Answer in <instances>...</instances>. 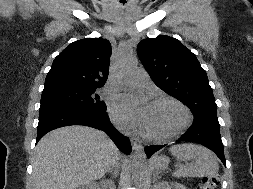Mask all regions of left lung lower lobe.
I'll use <instances>...</instances> for the list:
<instances>
[{"mask_svg":"<svg viewBox=\"0 0 253 189\" xmlns=\"http://www.w3.org/2000/svg\"><path fill=\"white\" fill-rule=\"evenodd\" d=\"M177 141H189L202 144L211 149L226 166L224 149L220 136L219 123L209 121H194L189 129ZM165 145H152L145 147V152L149 158L153 153L163 148Z\"/></svg>","mask_w":253,"mask_h":189,"instance_id":"left-lung-lower-lobe-1","label":"left lung lower lobe"}]
</instances>
